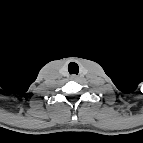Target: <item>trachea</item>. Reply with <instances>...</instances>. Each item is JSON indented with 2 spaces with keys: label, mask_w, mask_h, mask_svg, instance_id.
<instances>
[{
  "label": "trachea",
  "mask_w": 143,
  "mask_h": 143,
  "mask_svg": "<svg viewBox=\"0 0 143 143\" xmlns=\"http://www.w3.org/2000/svg\"><path fill=\"white\" fill-rule=\"evenodd\" d=\"M68 71H69L70 74H78V72H79L78 64H76L75 62H71L68 65Z\"/></svg>",
  "instance_id": "trachea-1"
}]
</instances>
